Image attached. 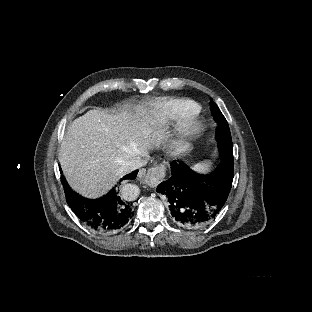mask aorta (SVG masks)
<instances>
[{"label":"aorta","instance_id":"obj_1","mask_svg":"<svg viewBox=\"0 0 312 312\" xmlns=\"http://www.w3.org/2000/svg\"><path fill=\"white\" fill-rule=\"evenodd\" d=\"M124 192L128 193V199L129 200H135L137 199L140 189L135 184H126L124 187Z\"/></svg>","mask_w":312,"mask_h":312}]
</instances>
